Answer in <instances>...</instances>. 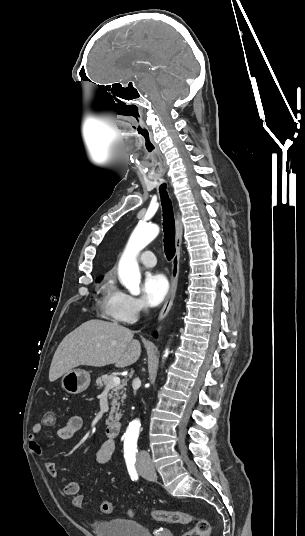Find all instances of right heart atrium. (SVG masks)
<instances>
[{
	"label": "right heart atrium",
	"mask_w": 305,
	"mask_h": 536,
	"mask_svg": "<svg viewBox=\"0 0 305 536\" xmlns=\"http://www.w3.org/2000/svg\"><path fill=\"white\" fill-rule=\"evenodd\" d=\"M105 311L116 321L130 324L147 311V304L142 299L133 297L123 290L115 289Z\"/></svg>",
	"instance_id": "obj_1"
}]
</instances>
